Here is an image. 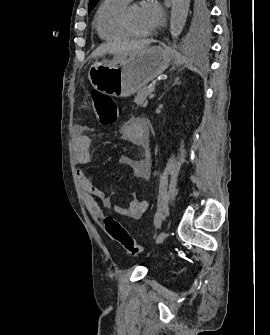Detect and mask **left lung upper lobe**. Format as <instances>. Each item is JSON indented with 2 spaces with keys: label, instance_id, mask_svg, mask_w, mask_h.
I'll list each match as a JSON object with an SVG mask.
<instances>
[{
  "label": "left lung upper lobe",
  "instance_id": "5c2ea615",
  "mask_svg": "<svg viewBox=\"0 0 270 335\" xmlns=\"http://www.w3.org/2000/svg\"><path fill=\"white\" fill-rule=\"evenodd\" d=\"M99 0H90L88 12H90ZM207 0H190L188 3L189 20L193 29L203 33L208 29L209 8Z\"/></svg>",
  "mask_w": 270,
  "mask_h": 335
}]
</instances>
